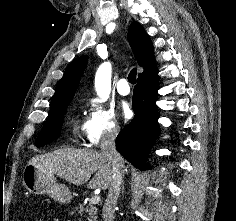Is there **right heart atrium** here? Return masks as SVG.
<instances>
[{"mask_svg":"<svg viewBox=\"0 0 236 221\" xmlns=\"http://www.w3.org/2000/svg\"><path fill=\"white\" fill-rule=\"evenodd\" d=\"M88 113L82 128V137L89 147H96L101 142L115 138L120 126L111 108L97 103L88 102Z\"/></svg>","mask_w":236,"mask_h":221,"instance_id":"obj_1","label":"right heart atrium"}]
</instances>
